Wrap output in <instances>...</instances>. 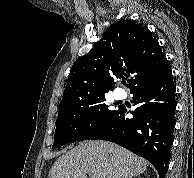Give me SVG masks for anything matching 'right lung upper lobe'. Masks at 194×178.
<instances>
[{"instance_id": "1", "label": "right lung upper lobe", "mask_w": 194, "mask_h": 178, "mask_svg": "<svg viewBox=\"0 0 194 178\" xmlns=\"http://www.w3.org/2000/svg\"><path fill=\"white\" fill-rule=\"evenodd\" d=\"M170 69L158 41L146 26L123 20L111 26L86 55L73 64L59 112L102 97L115 86L113 78L128 80L130 91L159 80Z\"/></svg>"}]
</instances>
